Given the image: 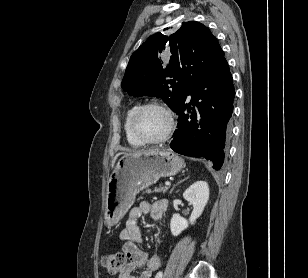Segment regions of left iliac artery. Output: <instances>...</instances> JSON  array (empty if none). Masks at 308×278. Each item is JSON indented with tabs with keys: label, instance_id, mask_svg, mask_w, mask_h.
<instances>
[{
	"label": "left iliac artery",
	"instance_id": "44dca946",
	"mask_svg": "<svg viewBox=\"0 0 308 278\" xmlns=\"http://www.w3.org/2000/svg\"><path fill=\"white\" fill-rule=\"evenodd\" d=\"M163 276V273L162 272H158L157 275H156V278H162Z\"/></svg>",
	"mask_w": 308,
	"mask_h": 278
}]
</instances>
